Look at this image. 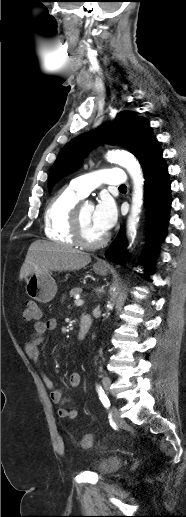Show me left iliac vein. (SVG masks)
<instances>
[{
    "instance_id": "1",
    "label": "left iliac vein",
    "mask_w": 186,
    "mask_h": 517,
    "mask_svg": "<svg viewBox=\"0 0 186 517\" xmlns=\"http://www.w3.org/2000/svg\"><path fill=\"white\" fill-rule=\"evenodd\" d=\"M110 413L112 415L113 420L117 424H121L123 422V419L121 418L120 411L118 410L117 407H115V406L110 407Z\"/></svg>"
}]
</instances>
